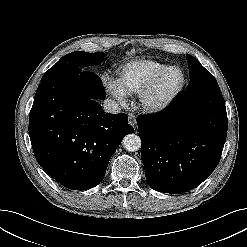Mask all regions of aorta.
Instances as JSON below:
<instances>
[{
	"instance_id": "1",
	"label": "aorta",
	"mask_w": 247,
	"mask_h": 247,
	"mask_svg": "<svg viewBox=\"0 0 247 247\" xmlns=\"http://www.w3.org/2000/svg\"><path fill=\"white\" fill-rule=\"evenodd\" d=\"M123 146L127 151L134 152L141 148V139L133 133L126 135L122 140Z\"/></svg>"
}]
</instances>
